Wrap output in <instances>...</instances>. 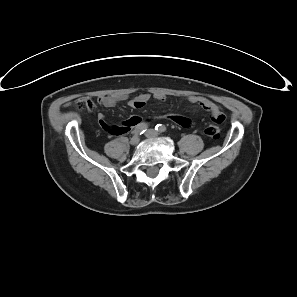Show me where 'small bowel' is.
I'll return each mask as SVG.
<instances>
[{"mask_svg": "<svg viewBox=\"0 0 297 297\" xmlns=\"http://www.w3.org/2000/svg\"><path fill=\"white\" fill-rule=\"evenodd\" d=\"M156 100L162 101L165 99L164 96L158 95L154 96ZM149 95L141 94L137 97H134L128 101V105L134 109H141L146 106ZM125 98H117L113 96H103L100 98V102L105 107H114L118 104L119 101L124 100ZM188 100L190 103L199 106L210 112L212 119H215L218 116H222L224 120V115L222 109L215 103L198 96H189ZM167 119L172 122L179 124L184 128H191L193 126V121L189 118L178 116V115H168ZM99 122L103 126V128L109 133H125L128 131L130 127L137 126L140 123V119L138 117H131L125 120L121 127H117L114 125H109L105 122L103 115H99Z\"/></svg>", "mask_w": 297, "mask_h": 297, "instance_id": "1", "label": "small bowel"}]
</instances>
